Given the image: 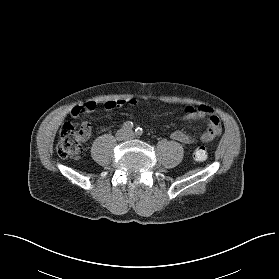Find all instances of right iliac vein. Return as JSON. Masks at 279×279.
I'll return each mask as SVG.
<instances>
[{"label": "right iliac vein", "mask_w": 279, "mask_h": 279, "mask_svg": "<svg viewBox=\"0 0 279 279\" xmlns=\"http://www.w3.org/2000/svg\"><path fill=\"white\" fill-rule=\"evenodd\" d=\"M123 134H125L124 129H120L117 133V135H120V136H122Z\"/></svg>", "instance_id": "right-iliac-vein-1"}]
</instances>
